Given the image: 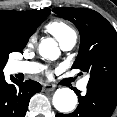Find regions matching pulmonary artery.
<instances>
[{"mask_svg": "<svg viewBox=\"0 0 117 117\" xmlns=\"http://www.w3.org/2000/svg\"><path fill=\"white\" fill-rule=\"evenodd\" d=\"M77 43L76 34H71L66 38L59 41L60 47L63 51H70L74 48ZM43 67L35 62H22V61H14L11 63V70L13 73H23V74H35L40 72ZM88 84V78H84L78 84V88L82 91H85Z\"/></svg>", "mask_w": 117, "mask_h": 117, "instance_id": "1", "label": "pulmonary artery"}]
</instances>
